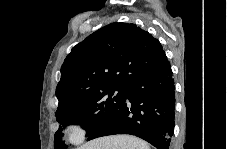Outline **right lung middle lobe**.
<instances>
[{
    "label": "right lung middle lobe",
    "mask_w": 227,
    "mask_h": 149,
    "mask_svg": "<svg viewBox=\"0 0 227 149\" xmlns=\"http://www.w3.org/2000/svg\"><path fill=\"white\" fill-rule=\"evenodd\" d=\"M117 95L112 97L114 92ZM126 87L110 85L95 89L81 98L66 103L56 111L57 121L63 125L79 124L89 136L102 122L111 117L125 101ZM60 128L55 133L54 144L56 149H67L62 140Z\"/></svg>",
    "instance_id": "obj_1"
}]
</instances>
